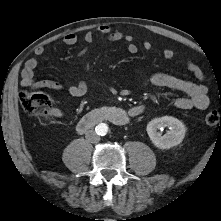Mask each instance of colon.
I'll list each match as a JSON object with an SVG mask.
<instances>
[{
    "instance_id": "obj_1",
    "label": "colon",
    "mask_w": 221,
    "mask_h": 221,
    "mask_svg": "<svg viewBox=\"0 0 221 221\" xmlns=\"http://www.w3.org/2000/svg\"><path fill=\"white\" fill-rule=\"evenodd\" d=\"M20 104L27 114L34 117H49L53 111L51 99L42 93L23 91L20 94ZM205 121L211 126L221 124V115L217 111H210L206 114Z\"/></svg>"
}]
</instances>
